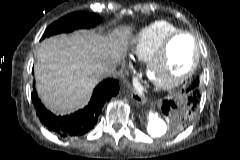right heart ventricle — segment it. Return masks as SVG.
<instances>
[{"instance_id":"e07e8e85","label":"right heart ventricle","mask_w":240,"mask_h":160,"mask_svg":"<svg viewBox=\"0 0 240 160\" xmlns=\"http://www.w3.org/2000/svg\"><path fill=\"white\" fill-rule=\"evenodd\" d=\"M180 31L174 24L159 20L140 29L130 43L131 54L139 61L146 62L172 33Z\"/></svg>"}]
</instances>
